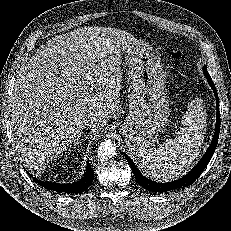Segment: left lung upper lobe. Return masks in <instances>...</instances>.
<instances>
[{
  "label": "left lung upper lobe",
  "instance_id": "obj_1",
  "mask_svg": "<svg viewBox=\"0 0 231 231\" xmlns=\"http://www.w3.org/2000/svg\"><path fill=\"white\" fill-rule=\"evenodd\" d=\"M203 72H207V67L206 66L203 67Z\"/></svg>",
  "mask_w": 231,
  "mask_h": 231
}]
</instances>
